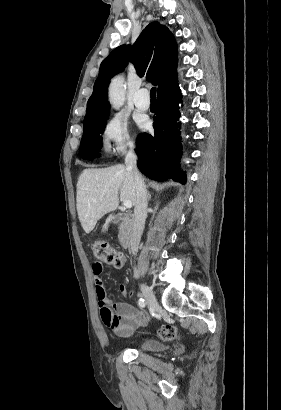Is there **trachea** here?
<instances>
[{"label":"trachea","mask_w":281,"mask_h":410,"mask_svg":"<svg viewBox=\"0 0 281 410\" xmlns=\"http://www.w3.org/2000/svg\"><path fill=\"white\" fill-rule=\"evenodd\" d=\"M150 97L151 99H156V87L151 88Z\"/></svg>","instance_id":"1"}]
</instances>
